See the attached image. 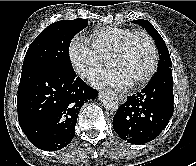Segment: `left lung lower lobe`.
Masks as SVG:
<instances>
[{
    "mask_svg": "<svg viewBox=\"0 0 196 166\" xmlns=\"http://www.w3.org/2000/svg\"><path fill=\"white\" fill-rule=\"evenodd\" d=\"M171 68L158 70L149 84L122 104L113 117V128L121 139L143 144L155 139L173 115Z\"/></svg>",
    "mask_w": 196,
    "mask_h": 166,
    "instance_id": "1",
    "label": "left lung lower lobe"
}]
</instances>
